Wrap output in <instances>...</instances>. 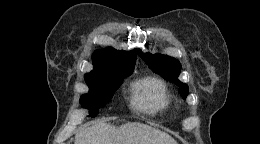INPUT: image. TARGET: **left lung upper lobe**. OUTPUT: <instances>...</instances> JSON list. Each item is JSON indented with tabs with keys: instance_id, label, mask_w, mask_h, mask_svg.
I'll use <instances>...</instances> for the list:
<instances>
[{
	"instance_id": "5c2ea615",
	"label": "left lung upper lobe",
	"mask_w": 260,
	"mask_h": 144,
	"mask_svg": "<svg viewBox=\"0 0 260 144\" xmlns=\"http://www.w3.org/2000/svg\"><path fill=\"white\" fill-rule=\"evenodd\" d=\"M139 56L148 64L154 72L169 80L170 82H176L181 85L179 93L182 97L186 98L188 95V86L178 80V76L181 71V64L178 60L161 54H151L149 52L143 53L138 50Z\"/></svg>"
}]
</instances>
